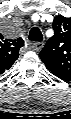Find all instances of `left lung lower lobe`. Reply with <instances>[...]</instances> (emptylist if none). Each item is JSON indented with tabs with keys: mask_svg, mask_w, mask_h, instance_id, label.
<instances>
[{
	"mask_svg": "<svg viewBox=\"0 0 71 119\" xmlns=\"http://www.w3.org/2000/svg\"><path fill=\"white\" fill-rule=\"evenodd\" d=\"M52 74H54L55 76H57L58 78H60L62 80H71V76H69L67 74H60V73H56V72H52Z\"/></svg>",
	"mask_w": 71,
	"mask_h": 119,
	"instance_id": "left-lung-lower-lobe-1",
	"label": "left lung lower lobe"
}]
</instances>
